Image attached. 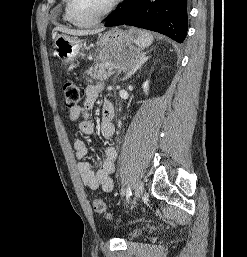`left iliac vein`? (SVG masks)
I'll use <instances>...</instances> for the list:
<instances>
[{
    "instance_id": "4c4485c4",
    "label": "left iliac vein",
    "mask_w": 247,
    "mask_h": 257,
    "mask_svg": "<svg viewBox=\"0 0 247 257\" xmlns=\"http://www.w3.org/2000/svg\"><path fill=\"white\" fill-rule=\"evenodd\" d=\"M144 192V185L141 181L137 182L135 185V200H138Z\"/></svg>"
}]
</instances>
